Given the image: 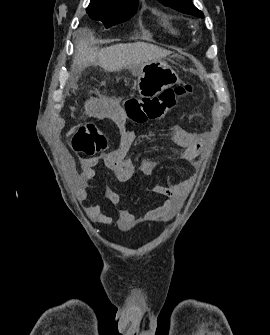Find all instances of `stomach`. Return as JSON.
I'll return each instance as SVG.
<instances>
[{"label":"stomach","mask_w":270,"mask_h":335,"mask_svg":"<svg viewBox=\"0 0 270 335\" xmlns=\"http://www.w3.org/2000/svg\"><path fill=\"white\" fill-rule=\"evenodd\" d=\"M136 76L140 98H154V96L160 94L164 86H173V84L179 82L176 72L162 60L146 62Z\"/></svg>","instance_id":"1"}]
</instances>
